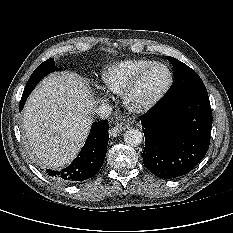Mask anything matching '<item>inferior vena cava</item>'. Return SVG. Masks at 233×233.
I'll use <instances>...</instances> for the list:
<instances>
[{"mask_svg":"<svg viewBox=\"0 0 233 233\" xmlns=\"http://www.w3.org/2000/svg\"><path fill=\"white\" fill-rule=\"evenodd\" d=\"M112 113V108L109 104L103 103L97 109V114L101 119H107Z\"/></svg>","mask_w":233,"mask_h":233,"instance_id":"1","label":"inferior vena cava"}]
</instances>
